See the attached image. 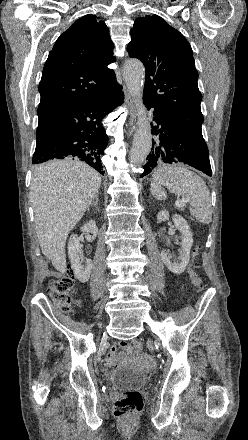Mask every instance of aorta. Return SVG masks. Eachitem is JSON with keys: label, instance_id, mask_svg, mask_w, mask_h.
Here are the masks:
<instances>
[{"label": "aorta", "instance_id": "obj_1", "mask_svg": "<svg viewBox=\"0 0 248 440\" xmlns=\"http://www.w3.org/2000/svg\"><path fill=\"white\" fill-rule=\"evenodd\" d=\"M123 77L131 95L136 100L138 122L130 152V162L134 165L142 164L151 149V129L146 115V108L143 104V88L145 79V68L141 61L136 59L128 60L123 69Z\"/></svg>", "mask_w": 248, "mask_h": 440}]
</instances>
